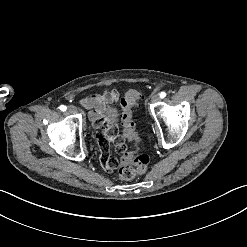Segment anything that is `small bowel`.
Segmentation results:
<instances>
[{"instance_id": "c3829d8e", "label": "small bowel", "mask_w": 247, "mask_h": 247, "mask_svg": "<svg viewBox=\"0 0 247 247\" xmlns=\"http://www.w3.org/2000/svg\"><path fill=\"white\" fill-rule=\"evenodd\" d=\"M119 99V92L117 90H111L104 94H95L85 97L81 100V106L85 109H89V120L93 122L98 130L96 140L98 142V148L101 154V164L105 167L106 172H111L115 168L116 163L112 160V154L110 151V143L103 127L104 122H107V134L109 139L114 145L116 153L121 154L127 150L130 145L128 138L120 136L118 133V118L112 114L115 112L116 107L114 102ZM105 112L110 115H105Z\"/></svg>"}]
</instances>
